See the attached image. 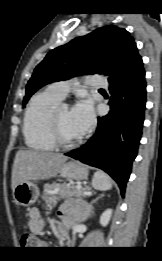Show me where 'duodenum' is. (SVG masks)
I'll list each match as a JSON object with an SVG mask.
<instances>
[{
    "mask_svg": "<svg viewBox=\"0 0 162 261\" xmlns=\"http://www.w3.org/2000/svg\"><path fill=\"white\" fill-rule=\"evenodd\" d=\"M60 235H61L62 237L68 236V230H67V228L61 227V228H60Z\"/></svg>",
    "mask_w": 162,
    "mask_h": 261,
    "instance_id": "1",
    "label": "duodenum"
}]
</instances>
